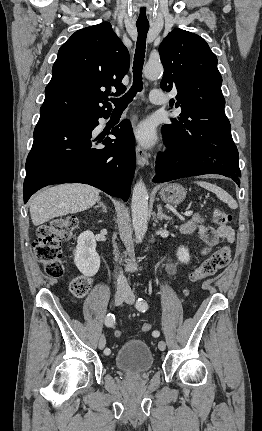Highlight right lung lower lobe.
Masks as SVG:
<instances>
[{
  "mask_svg": "<svg viewBox=\"0 0 262 431\" xmlns=\"http://www.w3.org/2000/svg\"><path fill=\"white\" fill-rule=\"evenodd\" d=\"M100 117L39 119L26 161L24 203L42 187L60 183H85L124 201L129 198L135 171L130 122L125 120L111 131L115 140L99 136L94 139L91 133ZM99 144L106 147L97 148Z\"/></svg>",
  "mask_w": 262,
  "mask_h": 431,
  "instance_id": "1",
  "label": "right lung lower lobe"
}]
</instances>
